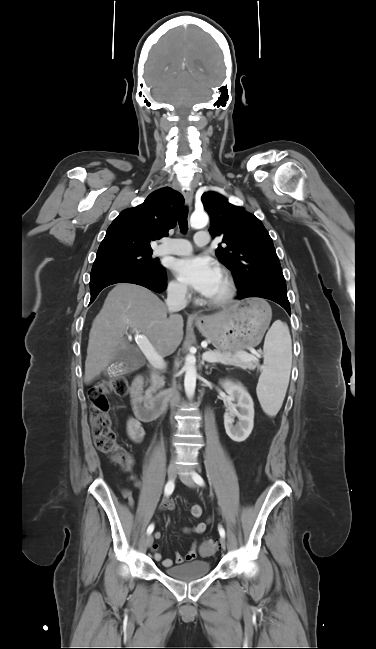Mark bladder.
<instances>
[{"instance_id":"31cf9c89","label":"bladder","mask_w":376,"mask_h":649,"mask_svg":"<svg viewBox=\"0 0 376 649\" xmlns=\"http://www.w3.org/2000/svg\"><path fill=\"white\" fill-rule=\"evenodd\" d=\"M211 571L209 562L194 561L178 566H173L164 570L165 574L169 577L183 582H190L200 579Z\"/></svg>"}]
</instances>
